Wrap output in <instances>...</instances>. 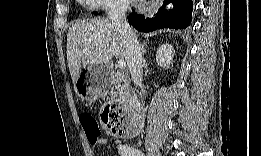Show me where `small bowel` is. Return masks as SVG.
<instances>
[{
  "mask_svg": "<svg viewBox=\"0 0 261 156\" xmlns=\"http://www.w3.org/2000/svg\"><path fill=\"white\" fill-rule=\"evenodd\" d=\"M106 139L105 138H99L98 139V141H97V143L96 144H98V145H104V144H106ZM120 153V152H119ZM121 154V153H120ZM122 155V154H121Z\"/></svg>",
  "mask_w": 261,
  "mask_h": 156,
  "instance_id": "small-bowel-1",
  "label": "small bowel"
}]
</instances>
